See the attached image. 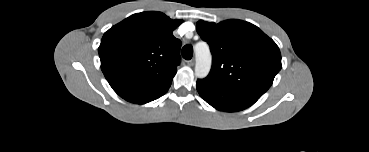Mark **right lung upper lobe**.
<instances>
[{"label":"right lung upper lobe","instance_id":"1","mask_svg":"<svg viewBox=\"0 0 369 152\" xmlns=\"http://www.w3.org/2000/svg\"><path fill=\"white\" fill-rule=\"evenodd\" d=\"M181 22L161 12H142L104 33L98 48L101 69L120 97L144 104L168 91L181 47L172 32Z\"/></svg>","mask_w":369,"mask_h":152}]
</instances>
